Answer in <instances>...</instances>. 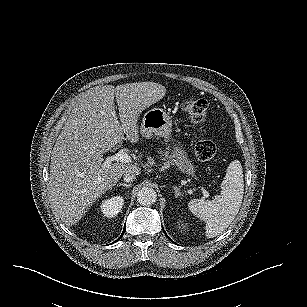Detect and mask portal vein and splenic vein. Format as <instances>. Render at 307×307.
<instances>
[{
    "mask_svg": "<svg viewBox=\"0 0 307 307\" xmlns=\"http://www.w3.org/2000/svg\"><path fill=\"white\" fill-rule=\"evenodd\" d=\"M115 160L119 161V162H123V163H133V159L132 157L128 154V152L125 149H121L119 150L116 155L113 157ZM112 159H107L102 165H101V169H105L106 167H108L111 163ZM200 192L202 193V195L205 198H210L211 195L209 194V192L204 188V187H199ZM218 196H215V198H217Z\"/></svg>",
    "mask_w": 307,
    "mask_h": 307,
    "instance_id": "1",
    "label": "portal vein and splenic vein"
}]
</instances>
